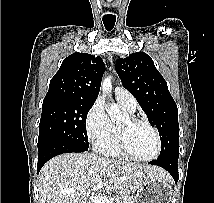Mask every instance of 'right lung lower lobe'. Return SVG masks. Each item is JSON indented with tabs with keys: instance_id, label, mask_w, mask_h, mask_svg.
I'll list each match as a JSON object with an SVG mask.
<instances>
[{
	"instance_id": "1",
	"label": "right lung lower lobe",
	"mask_w": 214,
	"mask_h": 203,
	"mask_svg": "<svg viewBox=\"0 0 214 203\" xmlns=\"http://www.w3.org/2000/svg\"><path fill=\"white\" fill-rule=\"evenodd\" d=\"M88 148L64 143V142H56L49 145L44 146L39 149L38 155V164H37V172L40 171L42 166L51 158L63 154V153H71V152H84L87 151Z\"/></svg>"
}]
</instances>
